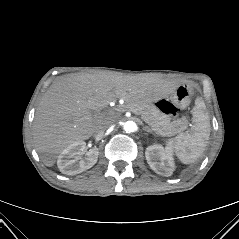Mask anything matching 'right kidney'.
<instances>
[{
    "instance_id": "1",
    "label": "right kidney",
    "mask_w": 239,
    "mask_h": 239,
    "mask_svg": "<svg viewBox=\"0 0 239 239\" xmlns=\"http://www.w3.org/2000/svg\"><path fill=\"white\" fill-rule=\"evenodd\" d=\"M86 143L78 141L65 148L58 156L57 165L60 171L66 175H76L93 167L98 160V149H90L84 158L81 152L85 149Z\"/></svg>"
}]
</instances>
